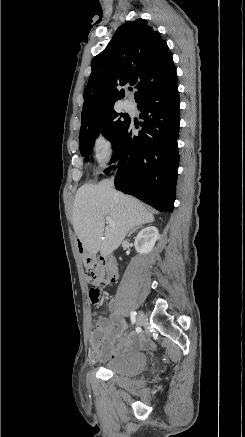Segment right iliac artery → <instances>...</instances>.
<instances>
[{
    "label": "right iliac artery",
    "instance_id": "obj_1",
    "mask_svg": "<svg viewBox=\"0 0 245 437\" xmlns=\"http://www.w3.org/2000/svg\"><path fill=\"white\" fill-rule=\"evenodd\" d=\"M137 320V316H136V312L132 311L131 312V321L134 324Z\"/></svg>",
    "mask_w": 245,
    "mask_h": 437
}]
</instances>
